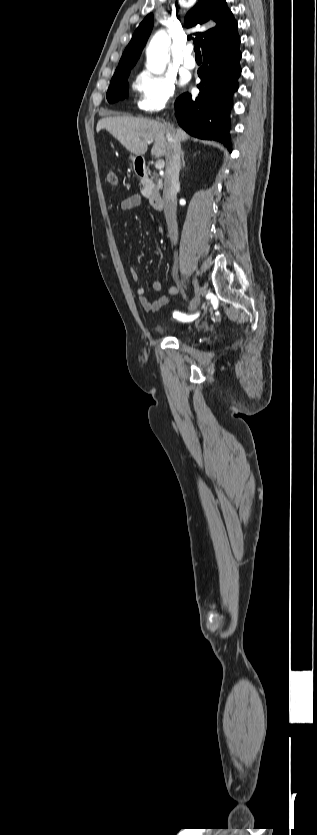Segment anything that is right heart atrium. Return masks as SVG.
<instances>
[{
	"label": "right heart atrium",
	"mask_w": 317,
	"mask_h": 835,
	"mask_svg": "<svg viewBox=\"0 0 317 835\" xmlns=\"http://www.w3.org/2000/svg\"><path fill=\"white\" fill-rule=\"evenodd\" d=\"M134 88L138 93V108L145 113H156L173 102L176 81L169 74H156L143 70L137 74Z\"/></svg>",
	"instance_id": "d8ad5b80"
}]
</instances>
